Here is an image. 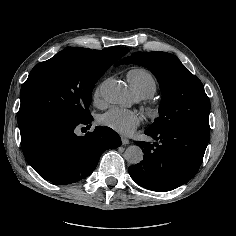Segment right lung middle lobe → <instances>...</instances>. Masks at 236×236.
I'll list each match as a JSON object with an SVG mask.
<instances>
[{
    "mask_svg": "<svg viewBox=\"0 0 236 236\" xmlns=\"http://www.w3.org/2000/svg\"><path fill=\"white\" fill-rule=\"evenodd\" d=\"M114 63L96 50L71 47L37 64L20 92L21 138L49 123L89 119L95 83Z\"/></svg>",
    "mask_w": 236,
    "mask_h": 236,
    "instance_id": "1",
    "label": "right lung middle lobe"
}]
</instances>
